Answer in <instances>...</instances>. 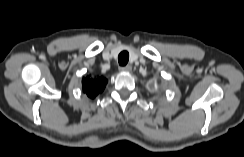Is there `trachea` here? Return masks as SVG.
Here are the masks:
<instances>
[{
	"instance_id": "obj_1",
	"label": "trachea",
	"mask_w": 244,
	"mask_h": 157,
	"mask_svg": "<svg viewBox=\"0 0 244 157\" xmlns=\"http://www.w3.org/2000/svg\"><path fill=\"white\" fill-rule=\"evenodd\" d=\"M129 60V53L127 51H122L118 56V62L121 66H125Z\"/></svg>"
}]
</instances>
